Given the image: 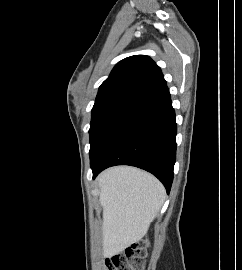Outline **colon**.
Masks as SVG:
<instances>
[{
  "label": "colon",
  "mask_w": 242,
  "mask_h": 270,
  "mask_svg": "<svg viewBox=\"0 0 242 270\" xmlns=\"http://www.w3.org/2000/svg\"><path fill=\"white\" fill-rule=\"evenodd\" d=\"M147 248V241L134 243L123 254L113 256L107 262V270H144Z\"/></svg>",
  "instance_id": "1"
}]
</instances>
